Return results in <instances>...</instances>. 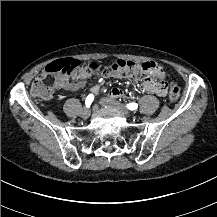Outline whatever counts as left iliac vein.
Listing matches in <instances>:
<instances>
[{"mask_svg":"<svg viewBox=\"0 0 217 217\" xmlns=\"http://www.w3.org/2000/svg\"><path fill=\"white\" fill-rule=\"evenodd\" d=\"M99 103L103 107H111V108L117 109V110L121 111L122 113H124L126 116H130L131 115V112L129 110H127L126 108H124L122 105L116 103L112 99L102 98V99H100Z\"/></svg>","mask_w":217,"mask_h":217,"instance_id":"obj_1","label":"left iliac vein"}]
</instances>
